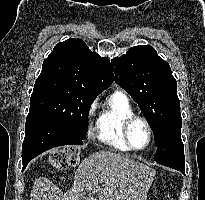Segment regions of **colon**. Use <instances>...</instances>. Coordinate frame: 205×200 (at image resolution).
Returning <instances> with one entry per match:
<instances>
[{
  "label": "colon",
  "instance_id": "1",
  "mask_svg": "<svg viewBox=\"0 0 205 200\" xmlns=\"http://www.w3.org/2000/svg\"><path fill=\"white\" fill-rule=\"evenodd\" d=\"M79 152L76 148L65 147L49 157V166L55 170H66L78 164Z\"/></svg>",
  "mask_w": 205,
  "mask_h": 200
}]
</instances>
